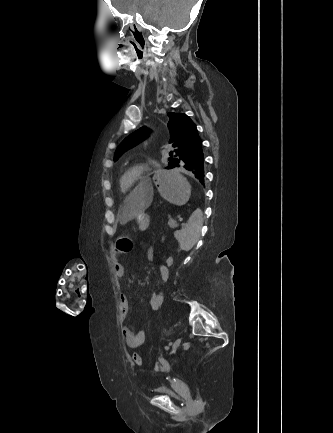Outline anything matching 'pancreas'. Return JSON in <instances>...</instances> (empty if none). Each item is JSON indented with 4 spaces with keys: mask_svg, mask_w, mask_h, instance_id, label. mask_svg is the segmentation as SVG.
<instances>
[{
    "mask_svg": "<svg viewBox=\"0 0 333 433\" xmlns=\"http://www.w3.org/2000/svg\"><path fill=\"white\" fill-rule=\"evenodd\" d=\"M168 224L173 229L178 226L177 222L175 220H173L172 218H169Z\"/></svg>",
    "mask_w": 333,
    "mask_h": 433,
    "instance_id": "1",
    "label": "pancreas"
}]
</instances>
